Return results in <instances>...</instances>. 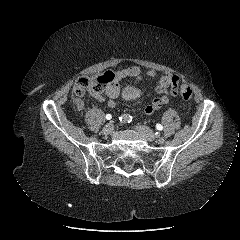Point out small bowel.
Listing matches in <instances>:
<instances>
[{
  "label": "small bowel",
  "instance_id": "obj_1",
  "mask_svg": "<svg viewBox=\"0 0 240 240\" xmlns=\"http://www.w3.org/2000/svg\"><path fill=\"white\" fill-rule=\"evenodd\" d=\"M112 74L113 80L105 90L106 97L108 98V104L111 107L115 105V100L120 95L119 83L123 79H142L143 77H154L156 75V71L152 69L143 71L139 67L132 66L126 68H119L112 72ZM178 83L179 78L175 75L167 73L161 76L159 81L155 85V92L157 93L158 97L154 98L152 102L146 107V114H152L157 111L162 105L169 103L171 97L176 95V91L174 89L169 91L168 88L170 86L173 87L174 84ZM94 97L101 101L105 100L102 95H96Z\"/></svg>",
  "mask_w": 240,
  "mask_h": 240
}]
</instances>
